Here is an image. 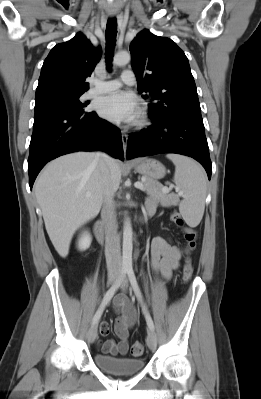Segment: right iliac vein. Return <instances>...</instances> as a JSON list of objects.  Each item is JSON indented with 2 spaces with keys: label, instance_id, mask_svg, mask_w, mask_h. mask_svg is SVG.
<instances>
[{
  "label": "right iliac vein",
  "instance_id": "63e3f726",
  "mask_svg": "<svg viewBox=\"0 0 261 399\" xmlns=\"http://www.w3.org/2000/svg\"><path fill=\"white\" fill-rule=\"evenodd\" d=\"M117 280V276L115 274H112L108 278L109 284H114ZM97 336V325L91 326V328L88 331V342L93 343L96 339Z\"/></svg>",
  "mask_w": 261,
  "mask_h": 399
}]
</instances>
